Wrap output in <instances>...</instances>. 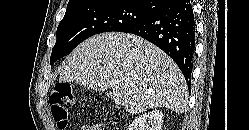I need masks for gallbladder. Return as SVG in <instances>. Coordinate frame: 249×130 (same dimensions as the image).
<instances>
[{"mask_svg":"<svg viewBox=\"0 0 249 130\" xmlns=\"http://www.w3.org/2000/svg\"><path fill=\"white\" fill-rule=\"evenodd\" d=\"M108 96H111V93H107Z\"/></svg>","mask_w":249,"mask_h":130,"instance_id":"obj_1","label":"gallbladder"}]
</instances>
